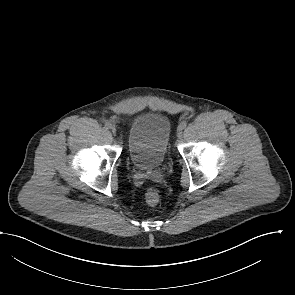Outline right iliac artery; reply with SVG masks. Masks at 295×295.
Instances as JSON below:
<instances>
[{
	"instance_id": "right-iliac-artery-1",
	"label": "right iliac artery",
	"mask_w": 295,
	"mask_h": 295,
	"mask_svg": "<svg viewBox=\"0 0 295 295\" xmlns=\"http://www.w3.org/2000/svg\"><path fill=\"white\" fill-rule=\"evenodd\" d=\"M111 126H112L111 123H109V122H106V123H105V128H106V129L111 128Z\"/></svg>"
}]
</instances>
